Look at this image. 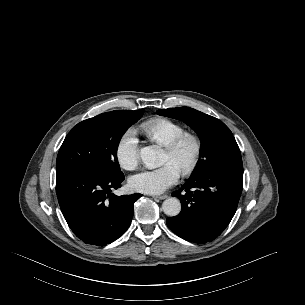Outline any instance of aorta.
I'll return each instance as SVG.
<instances>
[{
  "label": "aorta",
  "instance_id": "1",
  "mask_svg": "<svg viewBox=\"0 0 305 305\" xmlns=\"http://www.w3.org/2000/svg\"><path fill=\"white\" fill-rule=\"evenodd\" d=\"M140 157L147 165H160L163 161V150L156 145L146 146L141 149ZM162 209L167 216H177L181 211V203L177 198L171 197L163 202Z\"/></svg>",
  "mask_w": 305,
  "mask_h": 305
}]
</instances>
